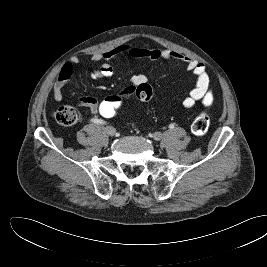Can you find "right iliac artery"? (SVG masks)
<instances>
[{
    "label": "right iliac artery",
    "mask_w": 267,
    "mask_h": 267,
    "mask_svg": "<svg viewBox=\"0 0 267 267\" xmlns=\"http://www.w3.org/2000/svg\"><path fill=\"white\" fill-rule=\"evenodd\" d=\"M92 122L97 123V124H106V122L102 119H97V118H93Z\"/></svg>",
    "instance_id": "obj_1"
}]
</instances>
